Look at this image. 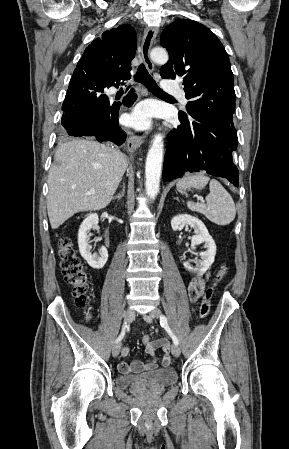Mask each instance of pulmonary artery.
Instances as JSON below:
<instances>
[{
    "label": "pulmonary artery",
    "instance_id": "1",
    "mask_svg": "<svg viewBox=\"0 0 289 449\" xmlns=\"http://www.w3.org/2000/svg\"><path fill=\"white\" fill-rule=\"evenodd\" d=\"M169 85H170V83H169L168 81H164V82H163V87H164V88L169 89ZM175 92H176L177 95L179 96V98H180V100L182 101V103H183V104H186V103H187V100H186V98H185L183 92L178 91V90H176Z\"/></svg>",
    "mask_w": 289,
    "mask_h": 449
}]
</instances>
